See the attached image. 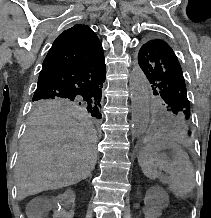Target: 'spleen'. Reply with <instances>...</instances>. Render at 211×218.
I'll return each mask as SVG.
<instances>
[{
	"instance_id": "3e777b00",
	"label": "spleen",
	"mask_w": 211,
	"mask_h": 218,
	"mask_svg": "<svg viewBox=\"0 0 211 218\" xmlns=\"http://www.w3.org/2000/svg\"><path fill=\"white\" fill-rule=\"evenodd\" d=\"M140 168L147 178L156 180L160 178L163 184H169L171 192L175 196L184 198L188 192H192L195 184L193 166L186 152H178L174 162L165 154H159L155 150H146L138 158ZM160 170H164L169 176H161Z\"/></svg>"
}]
</instances>
